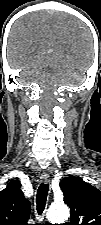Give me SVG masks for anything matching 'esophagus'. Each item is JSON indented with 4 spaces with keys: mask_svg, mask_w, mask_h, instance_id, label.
I'll list each match as a JSON object with an SVG mask.
<instances>
[{
    "mask_svg": "<svg viewBox=\"0 0 101 225\" xmlns=\"http://www.w3.org/2000/svg\"><path fill=\"white\" fill-rule=\"evenodd\" d=\"M40 179H41V182H43V183H50V181H51L50 176L47 175V174L42 175V176L40 177Z\"/></svg>",
    "mask_w": 101,
    "mask_h": 225,
    "instance_id": "esophagus-1",
    "label": "esophagus"
}]
</instances>
